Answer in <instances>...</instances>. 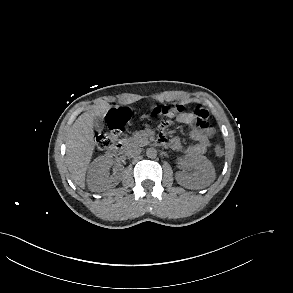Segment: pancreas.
<instances>
[{
  "mask_svg": "<svg viewBox=\"0 0 293 293\" xmlns=\"http://www.w3.org/2000/svg\"><path fill=\"white\" fill-rule=\"evenodd\" d=\"M148 137L145 131H137L132 137L125 139V143L130 146H145L148 144Z\"/></svg>",
  "mask_w": 293,
  "mask_h": 293,
  "instance_id": "cf45deb5",
  "label": "pancreas"
}]
</instances>
